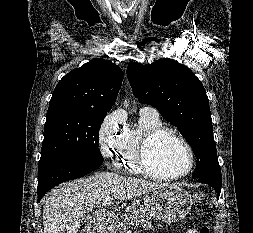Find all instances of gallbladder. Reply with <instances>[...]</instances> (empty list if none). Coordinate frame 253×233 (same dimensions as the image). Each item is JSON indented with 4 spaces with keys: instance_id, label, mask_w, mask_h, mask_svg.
I'll list each match as a JSON object with an SVG mask.
<instances>
[{
    "instance_id": "bac80fb5",
    "label": "gallbladder",
    "mask_w": 253,
    "mask_h": 233,
    "mask_svg": "<svg viewBox=\"0 0 253 233\" xmlns=\"http://www.w3.org/2000/svg\"><path fill=\"white\" fill-rule=\"evenodd\" d=\"M86 221H87V219H83V220H82V224H85Z\"/></svg>"
}]
</instances>
